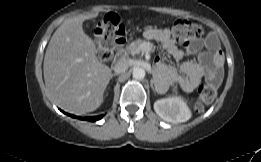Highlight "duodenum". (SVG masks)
Listing matches in <instances>:
<instances>
[{"label": "duodenum", "mask_w": 261, "mask_h": 162, "mask_svg": "<svg viewBox=\"0 0 261 162\" xmlns=\"http://www.w3.org/2000/svg\"><path fill=\"white\" fill-rule=\"evenodd\" d=\"M124 43H125V42L120 43V44H116V45H119L118 48H117V50H118L120 56L123 55V51H124ZM116 45H115V46H116Z\"/></svg>", "instance_id": "duodenum-1"}]
</instances>
